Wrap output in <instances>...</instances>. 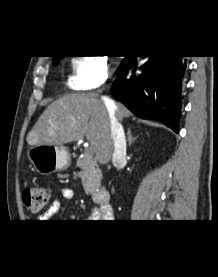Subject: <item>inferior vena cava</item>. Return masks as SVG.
Instances as JSON below:
<instances>
[{"label":"inferior vena cava","instance_id":"1","mask_svg":"<svg viewBox=\"0 0 218 277\" xmlns=\"http://www.w3.org/2000/svg\"><path fill=\"white\" fill-rule=\"evenodd\" d=\"M107 105L110 119L111 136L114 145L112 154L113 166L120 169L126 164V139L122 125L120 124V116L118 109L111 99L103 97Z\"/></svg>","mask_w":218,"mask_h":277}]
</instances>
